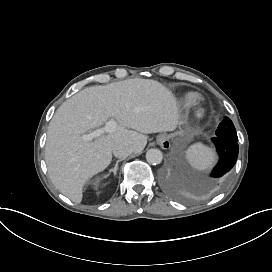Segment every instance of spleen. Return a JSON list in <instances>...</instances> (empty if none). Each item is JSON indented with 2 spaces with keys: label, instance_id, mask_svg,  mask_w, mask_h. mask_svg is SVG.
I'll list each match as a JSON object with an SVG mask.
<instances>
[{
  "label": "spleen",
  "instance_id": "spleen-1",
  "mask_svg": "<svg viewBox=\"0 0 272 272\" xmlns=\"http://www.w3.org/2000/svg\"><path fill=\"white\" fill-rule=\"evenodd\" d=\"M190 162L197 168H205L213 162V156L209 149L198 145L188 152Z\"/></svg>",
  "mask_w": 272,
  "mask_h": 272
}]
</instances>
